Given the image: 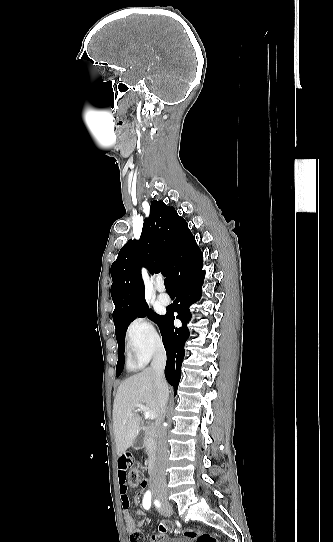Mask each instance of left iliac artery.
<instances>
[{"mask_svg": "<svg viewBox=\"0 0 333 542\" xmlns=\"http://www.w3.org/2000/svg\"><path fill=\"white\" fill-rule=\"evenodd\" d=\"M155 505H156L157 507H160V503H159V502H155Z\"/></svg>", "mask_w": 333, "mask_h": 542, "instance_id": "left-iliac-artery-1", "label": "left iliac artery"}]
</instances>
